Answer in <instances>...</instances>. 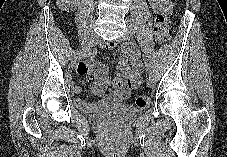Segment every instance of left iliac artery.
Listing matches in <instances>:
<instances>
[{"label":"left iliac artery","instance_id":"1","mask_svg":"<svg viewBox=\"0 0 227 157\" xmlns=\"http://www.w3.org/2000/svg\"><path fill=\"white\" fill-rule=\"evenodd\" d=\"M132 34H133V36L134 37H137L138 36V29H137V27L136 26H133L132 27ZM145 55V64H146V67H147V71L148 72H151V66H150V64H149V61H148V59L146 58L147 56H146V54H144Z\"/></svg>","mask_w":227,"mask_h":157}]
</instances>
